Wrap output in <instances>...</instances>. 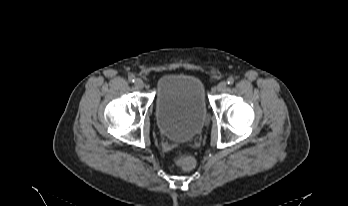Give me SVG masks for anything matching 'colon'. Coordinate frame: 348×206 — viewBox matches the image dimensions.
Masks as SVG:
<instances>
[{"label":"colon","instance_id":"obj_1","mask_svg":"<svg viewBox=\"0 0 348 206\" xmlns=\"http://www.w3.org/2000/svg\"><path fill=\"white\" fill-rule=\"evenodd\" d=\"M175 164L183 170H191L195 166V160L190 155L180 154L177 156Z\"/></svg>","mask_w":348,"mask_h":206}]
</instances>
